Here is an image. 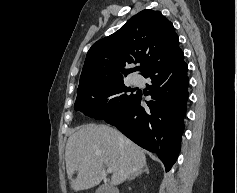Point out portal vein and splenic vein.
<instances>
[{
	"instance_id": "18ae733b",
	"label": "portal vein and splenic vein",
	"mask_w": 237,
	"mask_h": 193,
	"mask_svg": "<svg viewBox=\"0 0 237 193\" xmlns=\"http://www.w3.org/2000/svg\"><path fill=\"white\" fill-rule=\"evenodd\" d=\"M107 172H108V173H112V172H113V169H112L111 167H108V168H107Z\"/></svg>"
}]
</instances>
